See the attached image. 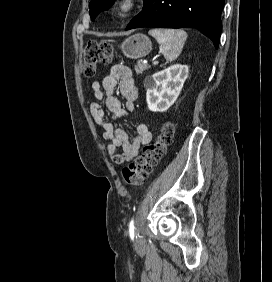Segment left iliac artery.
Returning a JSON list of instances; mask_svg holds the SVG:
<instances>
[{"label":"left iliac artery","mask_w":272,"mask_h":282,"mask_svg":"<svg viewBox=\"0 0 272 282\" xmlns=\"http://www.w3.org/2000/svg\"><path fill=\"white\" fill-rule=\"evenodd\" d=\"M129 235H130L131 239L134 238L135 232H134V221H133V219L130 221V224H129Z\"/></svg>","instance_id":"44dca946"}]
</instances>
